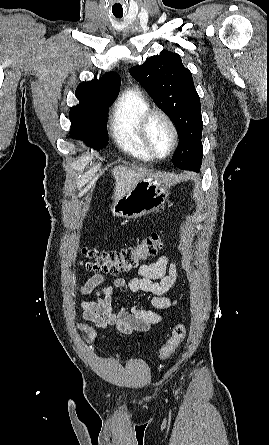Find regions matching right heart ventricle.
Returning <instances> with one entry per match:
<instances>
[{"mask_svg":"<svg viewBox=\"0 0 269 445\" xmlns=\"http://www.w3.org/2000/svg\"><path fill=\"white\" fill-rule=\"evenodd\" d=\"M149 110L147 99L139 91L130 89L117 100L110 119L111 134L117 145L143 161L154 159L144 146L139 132L140 121Z\"/></svg>","mask_w":269,"mask_h":445,"instance_id":"e07e8e85","label":"right heart ventricle"}]
</instances>
